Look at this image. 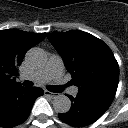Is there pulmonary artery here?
<instances>
[{
  "instance_id": "pulmonary-artery-1",
  "label": "pulmonary artery",
  "mask_w": 128,
  "mask_h": 128,
  "mask_svg": "<svg viewBox=\"0 0 128 128\" xmlns=\"http://www.w3.org/2000/svg\"><path fill=\"white\" fill-rule=\"evenodd\" d=\"M64 65L62 59L58 55H51L46 66L35 71L30 76H22L23 79H30L38 83H46L50 80H60L63 76ZM69 92L77 95L78 88L71 87Z\"/></svg>"
}]
</instances>
